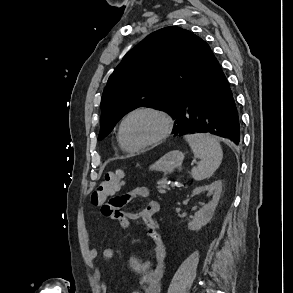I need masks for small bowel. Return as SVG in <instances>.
Wrapping results in <instances>:
<instances>
[{"label":"small bowel","instance_id":"obj_1","mask_svg":"<svg viewBox=\"0 0 293 293\" xmlns=\"http://www.w3.org/2000/svg\"><path fill=\"white\" fill-rule=\"evenodd\" d=\"M148 198L149 190L146 187H136L128 193L115 196V203L107 202L102 205L103 213L111 219L119 222L122 229H128L130 222L142 220L146 227L147 233L151 239V258L142 260L139 255H132L129 259V265L132 270L140 274L139 289L132 293H160V281L163 275L164 262L166 256L164 237L160 232V225L156 215L160 210V205L157 201H150L143 205L138 212H128L123 210L134 198ZM85 247L86 256L89 261H94L97 257V249L92 245L91 234L85 227ZM115 251L112 247L103 249L102 256L104 259H112ZM100 277L99 274L96 275ZM103 291H106L108 286L105 283L100 285Z\"/></svg>","mask_w":293,"mask_h":293}]
</instances>
